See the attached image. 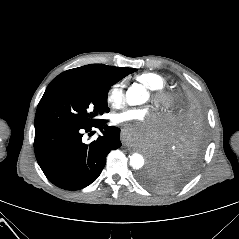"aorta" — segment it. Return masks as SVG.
Segmentation results:
<instances>
[{
  "mask_svg": "<svg viewBox=\"0 0 239 239\" xmlns=\"http://www.w3.org/2000/svg\"><path fill=\"white\" fill-rule=\"evenodd\" d=\"M127 102L130 105L142 104L146 100L145 89L140 85H133L126 92ZM145 159L139 153H133L130 156V166L134 169H140L144 166Z\"/></svg>",
  "mask_w": 239,
  "mask_h": 239,
  "instance_id": "aorta-1",
  "label": "aorta"
}]
</instances>
